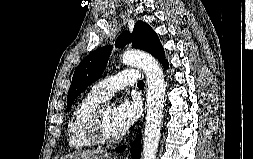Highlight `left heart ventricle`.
Returning <instances> with one entry per match:
<instances>
[{"label":"left heart ventricle","mask_w":253,"mask_h":159,"mask_svg":"<svg viewBox=\"0 0 253 159\" xmlns=\"http://www.w3.org/2000/svg\"><path fill=\"white\" fill-rule=\"evenodd\" d=\"M102 123L104 133L107 137L114 138L121 135L114 119V108L112 106L107 105L104 108Z\"/></svg>","instance_id":"b2bd125f"}]
</instances>
